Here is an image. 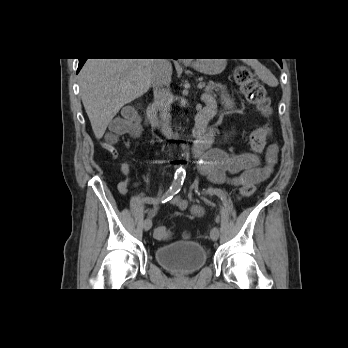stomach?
<instances>
[{
	"label": "stomach",
	"mask_w": 348,
	"mask_h": 348,
	"mask_svg": "<svg viewBox=\"0 0 348 348\" xmlns=\"http://www.w3.org/2000/svg\"><path fill=\"white\" fill-rule=\"evenodd\" d=\"M192 66L203 74L216 75L224 70L226 59H197Z\"/></svg>",
	"instance_id": "obj_1"
}]
</instances>
